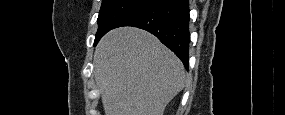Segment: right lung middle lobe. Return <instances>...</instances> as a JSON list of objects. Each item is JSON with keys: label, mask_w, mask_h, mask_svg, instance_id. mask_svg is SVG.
<instances>
[{"label": "right lung middle lobe", "mask_w": 285, "mask_h": 115, "mask_svg": "<svg viewBox=\"0 0 285 115\" xmlns=\"http://www.w3.org/2000/svg\"><path fill=\"white\" fill-rule=\"evenodd\" d=\"M152 0H103L97 19L98 31L95 35L96 45L100 38L124 17L143 7Z\"/></svg>", "instance_id": "dd1d6c3e"}]
</instances>
